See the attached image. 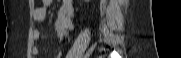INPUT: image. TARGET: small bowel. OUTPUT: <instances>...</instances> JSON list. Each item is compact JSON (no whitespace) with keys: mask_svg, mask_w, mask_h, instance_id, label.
I'll use <instances>...</instances> for the list:
<instances>
[{"mask_svg":"<svg viewBox=\"0 0 181 58\" xmlns=\"http://www.w3.org/2000/svg\"><path fill=\"white\" fill-rule=\"evenodd\" d=\"M51 0H43L42 5L37 7L33 12V20L35 22L41 23L46 19L47 6L50 4ZM74 5L72 1H66L65 4L59 11L58 18L55 21V32L60 39H63L68 32L73 27V17H74ZM32 37L35 41L39 40L40 32L35 29L32 33ZM32 53L37 55L39 53V47L34 45L32 47ZM60 55V49L58 50V55Z\"/></svg>","mask_w":181,"mask_h":58,"instance_id":"obj_1","label":"small bowel"}]
</instances>
